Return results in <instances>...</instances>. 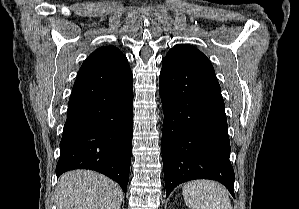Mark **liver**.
I'll return each instance as SVG.
<instances>
[{
    "mask_svg": "<svg viewBox=\"0 0 299 209\" xmlns=\"http://www.w3.org/2000/svg\"><path fill=\"white\" fill-rule=\"evenodd\" d=\"M56 197L58 209H120L123 191L102 174L74 170L59 178Z\"/></svg>",
    "mask_w": 299,
    "mask_h": 209,
    "instance_id": "liver-1",
    "label": "liver"
}]
</instances>
